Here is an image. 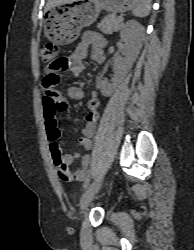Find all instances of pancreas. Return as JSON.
<instances>
[{
  "mask_svg": "<svg viewBox=\"0 0 194 250\" xmlns=\"http://www.w3.org/2000/svg\"><path fill=\"white\" fill-rule=\"evenodd\" d=\"M122 21L114 14H108L97 25V28L105 34H112L122 28Z\"/></svg>",
  "mask_w": 194,
  "mask_h": 250,
  "instance_id": "obj_1",
  "label": "pancreas"
}]
</instances>
